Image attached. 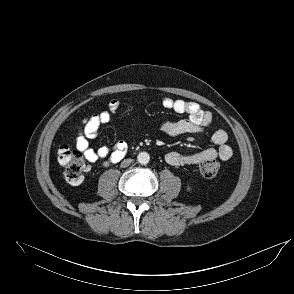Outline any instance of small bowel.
I'll return each instance as SVG.
<instances>
[{
	"label": "small bowel",
	"instance_id": "obj_1",
	"mask_svg": "<svg viewBox=\"0 0 294 294\" xmlns=\"http://www.w3.org/2000/svg\"><path fill=\"white\" fill-rule=\"evenodd\" d=\"M166 109L176 113H184L186 118L177 121H164L160 124V130L169 136L183 134H197L213 128V116L205 111L198 103L173 99L166 96L162 99ZM120 108L118 100L110 101L108 108L95 113L83 120L82 128L76 139V147L89 162L101 161L103 166L108 167L121 161L127 151L125 141L117 142L113 148L102 146L98 149L90 147L89 139H94L102 125L110 122ZM213 147L193 154H181L171 151L166 154L165 160L171 166L197 165L206 158H220L223 161L232 156V149L227 144L228 136L223 129H217L212 133Z\"/></svg>",
	"mask_w": 294,
	"mask_h": 294
}]
</instances>
